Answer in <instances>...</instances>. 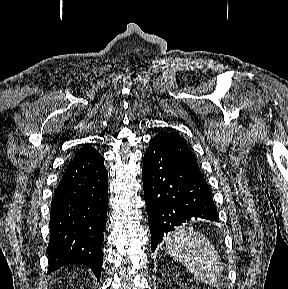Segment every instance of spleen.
Masks as SVG:
<instances>
[{"label":"spleen","instance_id":"spleen-1","mask_svg":"<svg viewBox=\"0 0 288 289\" xmlns=\"http://www.w3.org/2000/svg\"><path fill=\"white\" fill-rule=\"evenodd\" d=\"M170 256L185 266L196 280L212 285L222 278V264L215 247L200 232L185 225L176 227L166 238Z\"/></svg>","mask_w":288,"mask_h":289}]
</instances>
